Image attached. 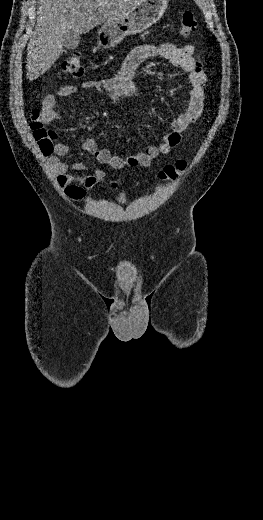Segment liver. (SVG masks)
I'll return each mask as SVG.
<instances>
[{
	"mask_svg": "<svg viewBox=\"0 0 263 520\" xmlns=\"http://www.w3.org/2000/svg\"><path fill=\"white\" fill-rule=\"evenodd\" d=\"M142 1L39 0L35 30L27 46V78L37 79L58 60L64 51V34H85Z\"/></svg>",
	"mask_w": 263,
	"mask_h": 520,
	"instance_id": "1",
	"label": "liver"
}]
</instances>
